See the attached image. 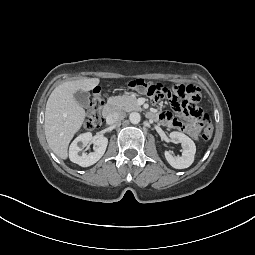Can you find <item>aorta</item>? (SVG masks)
Listing matches in <instances>:
<instances>
[{
  "mask_svg": "<svg viewBox=\"0 0 255 255\" xmlns=\"http://www.w3.org/2000/svg\"><path fill=\"white\" fill-rule=\"evenodd\" d=\"M129 120L132 124H138L141 120V116L137 112H132L129 116Z\"/></svg>",
  "mask_w": 255,
  "mask_h": 255,
  "instance_id": "obj_1",
  "label": "aorta"
}]
</instances>
